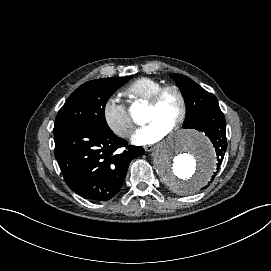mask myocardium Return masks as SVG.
<instances>
[{"label":"myocardium","mask_w":271,"mask_h":271,"mask_svg":"<svg viewBox=\"0 0 271 271\" xmlns=\"http://www.w3.org/2000/svg\"><path fill=\"white\" fill-rule=\"evenodd\" d=\"M169 91H175L178 93L181 103H182V110L180 115L174 120L171 129L175 130L179 128L187 119L189 114V100L187 97L186 92L184 89L175 83L164 84L162 85L153 95L152 99L148 102V106L159 109L162 104V100L165 94Z\"/></svg>","instance_id":"myocardium-1"}]
</instances>
